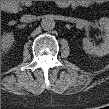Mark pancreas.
Returning a JSON list of instances; mask_svg holds the SVG:
<instances>
[{"mask_svg": "<svg viewBox=\"0 0 109 109\" xmlns=\"http://www.w3.org/2000/svg\"><path fill=\"white\" fill-rule=\"evenodd\" d=\"M21 4L26 5V6H30L33 3L31 1H22Z\"/></svg>", "mask_w": 109, "mask_h": 109, "instance_id": "pancreas-1", "label": "pancreas"}]
</instances>
